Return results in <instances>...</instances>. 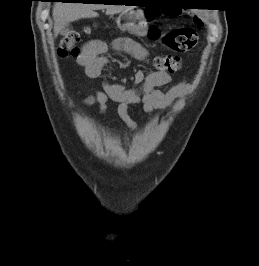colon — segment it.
<instances>
[{
  "instance_id": "5ec220e1",
  "label": "colon",
  "mask_w": 259,
  "mask_h": 266,
  "mask_svg": "<svg viewBox=\"0 0 259 266\" xmlns=\"http://www.w3.org/2000/svg\"><path fill=\"white\" fill-rule=\"evenodd\" d=\"M159 14L161 13L155 10L148 11V17L150 19L155 18ZM164 14L169 15L167 13ZM194 23L198 27L203 25V21L197 16L194 17ZM85 32H87V30H67L59 43V56H78V49L76 45L81 40V37ZM149 35L152 39H161L162 43L166 47L176 53L188 52L195 48L198 43V35L191 27L175 28L166 32L165 34H161L157 27H151ZM152 66L158 72L174 73L181 68V58L176 54L156 56L152 59Z\"/></svg>"
}]
</instances>
